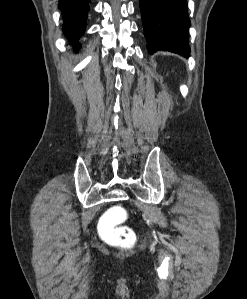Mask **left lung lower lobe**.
Wrapping results in <instances>:
<instances>
[{"mask_svg": "<svg viewBox=\"0 0 247 299\" xmlns=\"http://www.w3.org/2000/svg\"><path fill=\"white\" fill-rule=\"evenodd\" d=\"M147 49L190 56L187 0H139Z\"/></svg>", "mask_w": 247, "mask_h": 299, "instance_id": "left-lung-lower-lobe-1", "label": "left lung lower lobe"}]
</instances>
